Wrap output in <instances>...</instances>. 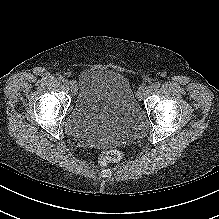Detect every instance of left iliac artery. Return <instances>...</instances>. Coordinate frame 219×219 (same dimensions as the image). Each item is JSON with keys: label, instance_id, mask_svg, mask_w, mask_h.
I'll return each mask as SVG.
<instances>
[{"label": "left iliac artery", "instance_id": "left-iliac-artery-1", "mask_svg": "<svg viewBox=\"0 0 219 219\" xmlns=\"http://www.w3.org/2000/svg\"><path fill=\"white\" fill-rule=\"evenodd\" d=\"M160 82H155L154 84H153V88L154 89H157V88H159L160 87Z\"/></svg>", "mask_w": 219, "mask_h": 219}]
</instances>
